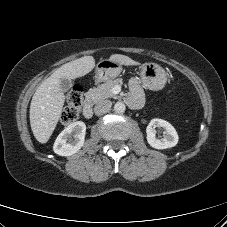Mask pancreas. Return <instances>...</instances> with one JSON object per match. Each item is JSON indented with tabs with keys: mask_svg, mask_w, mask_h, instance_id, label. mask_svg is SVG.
<instances>
[{
	"mask_svg": "<svg viewBox=\"0 0 227 227\" xmlns=\"http://www.w3.org/2000/svg\"><path fill=\"white\" fill-rule=\"evenodd\" d=\"M120 82V79L109 80L98 87L90 89L85 94L86 100L95 104L107 98H116L117 96L112 92V87Z\"/></svg>",
	"mask_w": 227,
	"mask_h": 227,
	"instance_id": "pancreas-1",
	"label": "pancreas"
}]
</instances>
